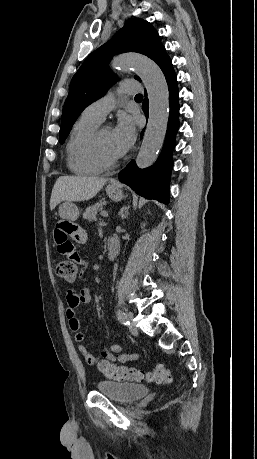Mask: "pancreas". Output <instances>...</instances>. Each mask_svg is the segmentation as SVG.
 I'll use <instances>...</instances> for the list:
<instances>
[{
    "label": "pancreas",
    "mask_w": 257,
    "mask_h": 459,
    "mask_svg": "<svg viewBox=\"0 0 257 459\" xmlns=\"http://www.w3.org/2000/svg\"><path fill=\"white\" fill-rule=\"evenodd\" d=\"M104 205H106V202L100 201L94 205L87 207L85 212L83 213V218L87 220L95 219L98 212H101L103 210Z\"/></svg>",
    "instance_id": "1"
}]
</instances>
